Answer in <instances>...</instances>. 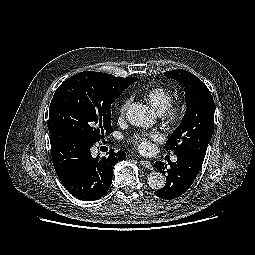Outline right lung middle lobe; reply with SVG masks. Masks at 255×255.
Masks as SVG:
<instances>
[{"label": "right lung middle lobe", "mask_w": 255, "mask_h": 255, "mask_svg": "<svg viewBox=\"0 0 255 255\" xmlns=\"http://www.w3.org/2000/svg\"><path fill=\"white\" fill-rule=\"evenodd\" d=\"M137 78L85 71L65 80L49 109V133L64 130L90 142L112 132L111 104Z\"/></svg>", "instance_id": "dd1d6c3e"}]
</instances>
